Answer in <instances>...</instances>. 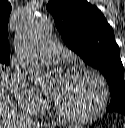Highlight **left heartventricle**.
I'll use <instances>...</instances> for the list:
<instances>
[{"instance_id":"left-heart-ventricle-1","label":"left heart ventricle","mask_w":125,"mask_h":128,"mask_svg":"<svg viewBox=\"0 0 125 128\" xmlns=\"http://www.w3.org/2000/svg\"><path fill=\"white\" fill-rule=\"evenodd\" d=\"M51 90L59 105L69 113L93 110L98 106L101 98L97 79L86 72L54 80Z\"/></svg>"}]
</instances>
